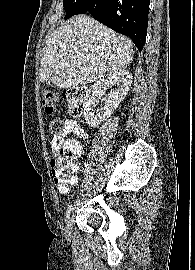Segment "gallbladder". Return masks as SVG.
Wrapping results in <instances>:
<instances>
[{"label": "gallbladder", "instance_id": "1", "mask_svg": "<svg viewBox=\"0 0 195 270\" xmlns=\"http://www.w3.org/2000/svg\"><path fill=\"white\" fill-rule=\"evenodd\" d=\"M47 85L50 88H54L55 87V84L53 83V81L51 79L47 81Z\"/></svg>", "mask_w": 195, "mask_h": 270}]
</instances>
